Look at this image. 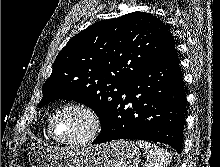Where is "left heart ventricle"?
<instances>
[{
    "mask_svg": "<svg viewBox=\"0 0 220 167\" xmlns=\"http://www.w3.org/2000/svg\"><path fill=\"white\" fill-rule=\"evenodd\" d=\"M87 117L76 110L62 113L55 121L54 133L61 139H72L83 135L88 129Z\"/></svg>",
    "mask_w": 220,
    "mask_h": 167,
    "instance_id": "1",
    "label": "left heart ventricle"
}]
</instances>
